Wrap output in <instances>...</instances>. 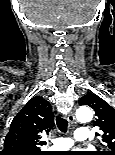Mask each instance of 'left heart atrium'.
<instances>
[{"instance_id":"39dd6f15","label":"left heart atrium","mask_w":115,"mask_h":155,"mask_svg":"<svg viewBox=\"0 0 115 155\" xmlns=\"http://www.w3.org/2000/svg\"><path fill=\"white\" fill-rule=\"evenodd\" d=\"M68 155H80V154H79V152H75V153L68 154Z\"/></svg>"}]
</instances>
